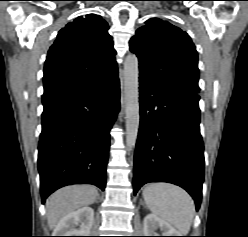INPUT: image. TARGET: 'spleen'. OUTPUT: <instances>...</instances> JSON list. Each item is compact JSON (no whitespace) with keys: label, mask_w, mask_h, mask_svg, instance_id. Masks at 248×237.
<instances>
[{"label":"spleen","mask_w":248,"mask_h":237,"mask_svg":"<svg viewBox=\"0 0 248 237\" xmlns=\"http://www.w3.org/2000/svg\"><path fill=\"white\" fill-rule=\"evenodd\" d=\"M149 210L173 225L180 234H188L194 217L195 206L187 192L167 183H152L143 190Z\"/></svg>","instance_id":"spleen-1"}]
</instances>
